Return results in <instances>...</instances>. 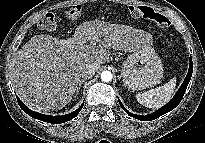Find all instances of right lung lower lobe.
<instances>
[{
	"label": "right lung lower lobe",
	"instance_id": "98d812e1",
	"mask_svg": "<svg viewBox=\"0 0 205 143\" xmlns=\"http://www.w3.org/2000/svg\"><path fill=\"white\" fill-rule=\"evenodd\" d=\"M18 104L19 106L22 108V110H24L28 115H30L31 117L44 121V122H48V123H54V124H59V123H65L71 119H73L83 108L84 103L75 111H73L72 113L66 114V115H62V116H49V115H45V114H40L37 112H34L32 110H30L27 106H25V104L19 99L17 98Z\"/></svg>",
	"mask_w": 205,
	"mask_h": 143
}]
</instances>
